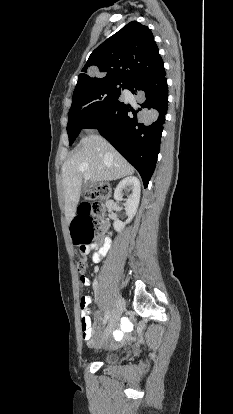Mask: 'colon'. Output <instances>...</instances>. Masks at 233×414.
Masks as SVG:
<instances>
[{
  "label": "colon",
  "mask_w": 233,
  "mask_h": 414,
  "mask_svg": "<svg viewBox=\"0 0 233 414\" xmlns=\"http://www.w3.org/2000/svg\"><path fill=\"white\" fill-rule=\"evenodd\" d=\"M110 192V187L107 184H101L93 188L88 193V197L92 202L81 205L72 221V239L81 253L104 230L102 201L110 196ZM76 266L79 273L87 270V262L82 257L78 258ZM80 286L82 288V284Z\"/></svg>",
  "instance_id": "obj_1"
}]
</instances>
